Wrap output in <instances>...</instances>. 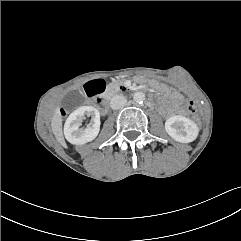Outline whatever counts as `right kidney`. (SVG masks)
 Returning a JSON list of instances; mask_svg holds the SVG:
<instances>
[{"label":"right kidney","instance_id":"ca27d5eb","mask_svg":"<svg viewBox=\"0 0 241 241\" xmlns=\"http://www.w3.org/2000/svg\"><path fill=\"white\" fill-rule=\"evenodd\" d=\"M85 115L92 116L91 123L85 128H80ZM100 130L99 111L91 106H82L72 112L64 125V135L68 142L82 145L94 140Z\"/></svg>","mask_w":241,"mask_h":241}]
</instances>
